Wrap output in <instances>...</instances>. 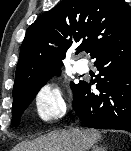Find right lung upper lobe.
<instances>
[{
    "label": "right lung upper lobe",
    "instance_id": "cb5924a9",
    "mask_svg": "<svg viewBox=\"0 0 131 151\" xmlns=\"http://www.w3.org/2000/svg\"><path fill=\"white\" fill-rule=\"evenodd\" d=\"M131 32V12L124 0H62L26 31L15 73L14 89L41 74L60 69L67 50L90 56Z\"/></svg>",
    "mask_w": 131,
    "mask_h": 151
}]
</instances>
